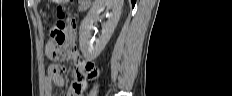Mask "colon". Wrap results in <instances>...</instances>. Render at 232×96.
I'll return each instance as SVG.
<instances>
[{"label": "colon", "mask_w": 232, "mask_h": 96, "mask_svg": "<svg viewBox=\"0 0 232 96\" xmlns=\"http://www.w3.org/2000/svg\"><path fill=\"white\" fill-rule=\"evenodd\" d=\"M57 18L49 29L50 43L53 44V48L47 50V54L51 58L58 57H71L72 55L78 56V50L75 46L69 47L66 45L68 41L67 20L68 9L66 7L57 8ZM82 63H91L82 61L76 71V81L80 85L81 90L85 88L86 77H93L97 75L95 68H82Z\"/></svg>", "instance_id": "colon-1"}]
</instances>
